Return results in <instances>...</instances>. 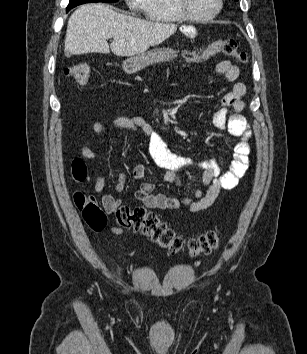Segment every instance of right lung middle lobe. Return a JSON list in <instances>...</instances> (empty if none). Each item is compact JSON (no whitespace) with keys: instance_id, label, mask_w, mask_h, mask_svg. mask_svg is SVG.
Returning a JSON list of instances; mask_svg holds the SVG:
<instances>
[{"instance_id":"right-lung-middle-lobe-1","label":"right lung middle lobe","mask_w":307,"mask_h":354,"mask_svg":"<svg viewBox=\"0 0 307 354\" xmlns=\"http://www.w3.org/2000/svg\"><path fill=\"white\" fill-rule=\"evenodd\" d=\"M118 0H70L66 11L68 12L70 9L74 8L77 5L88 3V2H117Z\"/></svg>"}]
</instances>
